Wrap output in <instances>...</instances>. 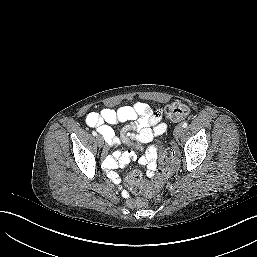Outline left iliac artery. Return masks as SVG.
Returning a JSON list of instances; mask_svg holds the SVG:
<instances>
[{
  "label": "left iliac artery",
  "instance_id": "left-iliac-artery-1",
  "mask_svg": "<svg viewBox=\"0 0 257 257\" xmlns=\"http://www.w3.org/2000/svg\"><path fill=\"white\" fill-rule=\"evenodd\" d=\"M187 125H188V123H187V122H184V123L182 124V127H183V128H186Z\"/></svg>",
  "mask_w": 257,
  "mask_h": 257
}]
</instances>
